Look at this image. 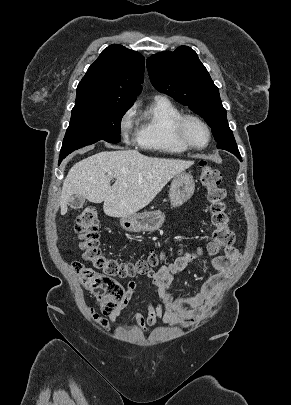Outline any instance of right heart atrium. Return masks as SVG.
Returning a JSON list of instances; mask_svg holds the SVG:
<instances>
[{
    "label": "right heart atrium",
    "mask_w": 291,
    "mask_h": 405,
    "mask_svg": "<svg viewBox=\"0 0 291 405\" xmlns=\"http://www.w3.org/2000/svg\"><path fill=\"white\" fill-rule=\"evenodd\" d=\"M134 108L131 107L127 109L120 118L119 121V128L123 139L126 142H130L131 139L134 137L133 135V127H134Z\"/></svg>",
    "instance_id": "1"
}]
</instances>
